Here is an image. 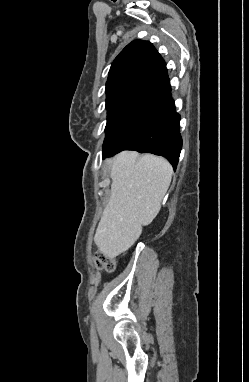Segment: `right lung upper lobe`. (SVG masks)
<instances>
[{
    "label": "right lung upper lobe",
    "instance_id": "cb5924a9",
    "mask_svg": "<svg viewBox=\"0 0 249 382\" xmlns=\"http://www.w3.org/2000/svg\"><path fill=\"white\" fill-rule=\"evenodd\" d=\"M166 64L148 41L129 43L111 65L106 107L124 101L154 103L170 90Z\"/></svg>",
    "mask_w": 249,
    "mask_h": 382
}]
</instances>
